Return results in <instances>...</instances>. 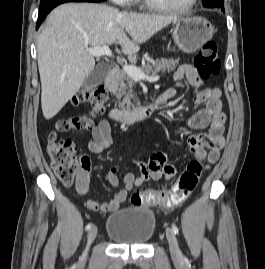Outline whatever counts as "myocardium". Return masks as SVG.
Wrapping results in <instances>:
<instances>
[{
	"label": "myocardium",
	"mask_w": 265,
	"mask_h": 269,
	"mask_svg": "<svg viewBox=\"0 0 265 269\" xmlns=\"http://www.w3.org/2000/svg\"><path fill=\"white\" fill-rule=\"evenodd\" d=\"M143 1L148 7L152 9H155L158 11L177 12V13H183V12L189 11L195 6L197 2V0H190L187 4L183 6H172V5L162 4L156 0H143Z\"/></svg>",
	"instance_id": "obj_1"
}]
</instances>
